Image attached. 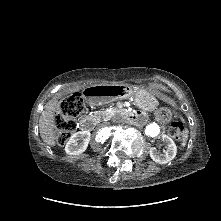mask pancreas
I'll list each match as a JSON object with an SVG mask.
<instances>
[{
    "instance_id": "pancreas-1",
    "label": "pancreas",
    "mask_w": 221,
    "mask_h": 221,
    "mask_svg": "<svg viewBox=\"0 0 221 221\" xmlns=\"http://www.w3.org/2000/svg\"><path fill=\"white\" fill-rule=\"evenodd\" d=\"M118 112L114 111V110H105L104 112L98 114L96 116L97 120L100 121L101 119H109L111 118L114 114H116Z\"/></svg>"
}]
</instances>
